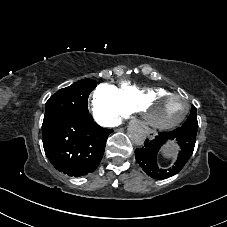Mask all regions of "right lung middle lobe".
Listing matches in <instances>:
<instances>
[{
  "mask_svg": "<svg viewBox=\"0 0 227 227\" xmlns=\"http://www.w3.org/2000/svg\"><path fill=\"white\" fill-rule=\"evenodd\" d=\"M95 87V82L83 79L57 91L46 102L43 125L64 116L89 113L88 97Z\"/></svg>",
  "mask_w": 227,
  "mask_h": 227,
  "instance_id": "1",
  "label": "right lung middle lobe"
}]
</instances>
